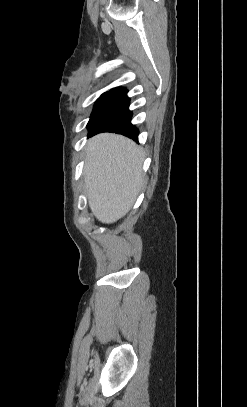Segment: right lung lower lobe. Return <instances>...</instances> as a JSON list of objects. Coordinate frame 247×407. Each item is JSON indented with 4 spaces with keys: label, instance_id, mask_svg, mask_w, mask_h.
Masks as SVG:
<instances>
[{
    "label": "right lung lower lobe",
    "instance_id": "right-lung-lower-lobe-1",
    "mask_svg": "<svg viewBox=\"0 0 247 407\" xmlns=\"http://www.w3.org/2000/svg\"><path fill=\"white\" fill-rule=\"evenodd\" d=\"M128 107L129 103L106 117L94 130L89 132V136H93L101 132H113L122 134L137 141L139 131L134 125L131 124L132 112Z\"/></svg>",
    "mask_w": 247,
    "mask_h": 407
}]
</instances>
